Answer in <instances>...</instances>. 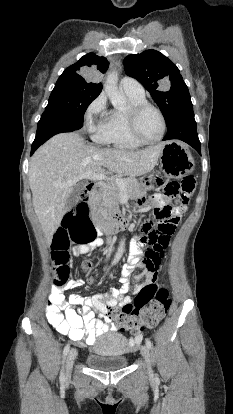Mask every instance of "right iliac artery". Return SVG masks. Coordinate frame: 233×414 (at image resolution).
Wrapping results in <instances>:
<instances>
[{"label": "right iliac artery", "instance_id": "right-iliac-artery-1", "mask_svg": "<svg viewBox=\"0 0 233 414\" xmlns=\"http://www.w3.org/2000/svg\"><path fill=\"white\" fill-rule=\"evenodd\" d=\"M113 265V264H112ZM70 350V345L67 344L63 350V360H65V357L67 356L68 352ZM60 382L63 383L65 381V375H64V370L62 368L61 373H60Z\"/></svg>", "mask_w": 233, "mask_h": 414}]
</instances>
